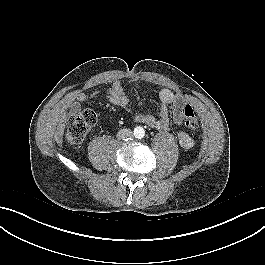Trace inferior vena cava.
<instances>
[{
  "instance_id": "1",
  "label": "inferior vena cava",
  "mask_w": 265,
  "mask_h": 265,
  "mask_svg": "<svg viewBox=\"0 0 265 265\" xmlns=\"http://www.w3.org/2000/svg\"><path fill=\"white\" fill-rule=\"evenodd\" d=\"M132 136H133L132 131L130 129H127V128H123V129L119 130V132L117 133L118 139L130 138Z\"/></svg>"
}]
</instances>
